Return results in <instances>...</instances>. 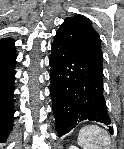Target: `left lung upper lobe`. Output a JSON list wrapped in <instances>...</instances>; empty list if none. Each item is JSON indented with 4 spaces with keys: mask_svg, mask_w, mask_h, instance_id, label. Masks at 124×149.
<instances>
[{
    "mask_svg": "<svg viewBox=\"0 0 124 149\" xmlns=\"http://www.w3.org/2000/svg\"><path fill=\"white\" fill-rule=\"evenodd\" d=\"M57 33L93 65L103 70L101 40L87 17L80 14L67 17Z\"/></svg>",
    "mask_w": 124,
    "mask_h": 149,
    "instance_id": "left-lung-upper-lobe-1",
    "label": "left lung upper lobe"
}]
</instances>
